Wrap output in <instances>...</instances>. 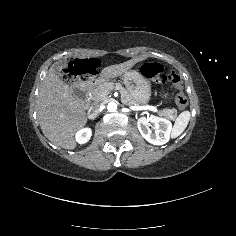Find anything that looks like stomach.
Returning a JSON list of instances; mask_svg holds the SVG:
<instances>
[{
  "instance_id": "obj_1",
  "label": "stomach",
  "mask_w": 236,
  "mask_h": 236,
  "mask_svg": "<svg viewBox=\"0 0 236 236\" xmlns=\"http://www.w3.org/2000/svg\"><path fill=\"white\" fill-rule=\"evenodd\" d=\"M123 83L131 97L138 104H146L151 96L150 82L138 71L129 70L123 74Z\"/></svg>"
}]
</instances>
